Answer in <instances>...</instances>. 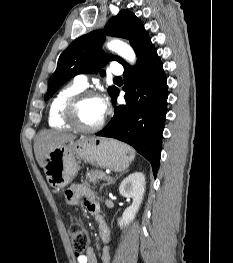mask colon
<instances>
[{"label":"colon","instance_id":"obj_1","mask_svg":"<svg viewBox=\"0 0 233 263\" xmlns=\"http://www.w3.org/2000/svg\"><path fill=\"white\" fill-rule=\"evenodd\" d=\"M68 231L75 255L77 257L83 255L89 246V236L87 231L82 225L77 223H72L69 226Z\"/></svg>","mask_w":233,"mask_h":263}]
</instances>
